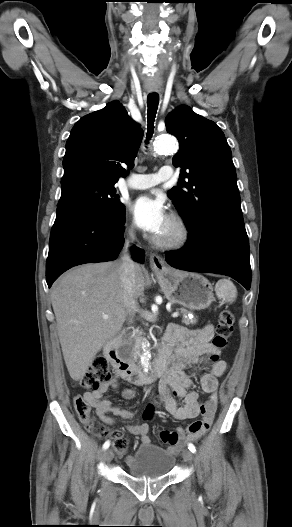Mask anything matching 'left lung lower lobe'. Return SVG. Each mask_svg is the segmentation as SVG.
I'll return each instance as SVG.
<instances>
[{
  "instance_id": "left-lung-lower-lobe-1",
  "label": "left lung lower lobe",
  "mask_w": 292,
  "mask_h": 527,
  "mask_svg": "<svg viewBox=\"0 0 292 527\" xmlns=\"http://www.w3.org/2000/svg\"><path fill=\"white\" fill-rule=\"evenodd\" d=\"M165 254L167 263L175 268L223 274L250 289L249 242L244 222L225 220L202 225L189 231L182 249Z\"/></svg>"
}]
</instances>
